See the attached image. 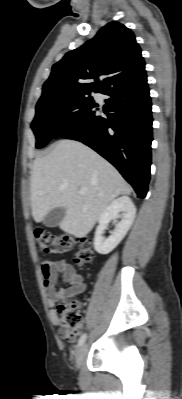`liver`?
Listing matches in <instances>:
<instances>
[{
  "mask_svg": "<svg viewBox=\"0 0 182 399\" xmlns=\"http://www.w3.org/2000/svg\"><path fill=\"white\" fill-rule=\"evenodd\" d=\"M31 206L35 222L44 221L54 208L66 214L59 227L77 238L85 237L101 213L119 195H129L130 186L103 157L81 142L63 139L53 150L33 162ZM86 193L80 194L79 189Z\"/></svg>",
  "mask_w": 182,
  "mask_h": 399,
  "instance_id": "obj_1",
  "label": "liver"
}]
</instances>
